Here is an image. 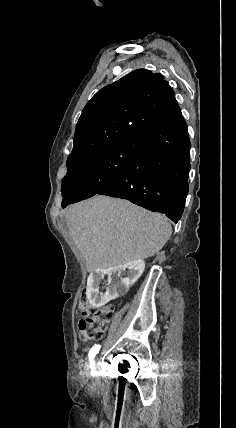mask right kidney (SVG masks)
<instances>
[{
	"mask_svg": "<svg viewBox=\"0 0 236 428\" xmlns=\"http://www.w3.org/2000/svg\"><path fill=\"white\" fill-rule=\"evenodd\" d=\"M121 268L117 270V273H113L118 277L116 283H103L110 277L109 269L92 270L87 282V298L92 306L95 308L107 306L109 301H113L120 294L122 299H127L130 286L139 280L145 270V262L144 260H133Z\"/></svg>",
	"mask_w": 236,
	"mask_h": 428,
	"instance_id": "right-kidney-1",
	"label": "right kidney"
}]
</instances>
